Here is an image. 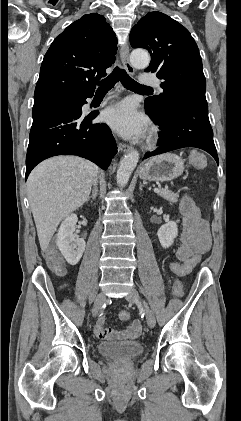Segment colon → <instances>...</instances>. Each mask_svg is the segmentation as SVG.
Segmentation results:
<instances>
[{"mask_svg":"<svg viewBox=\"0 0 241 421\" xmlns=\"http://www.w3.org/2000/svg\"><path fill=\"white\" fill-rule=\"evenodd\" d=\"M55 0H48L49 3H53ZM190 163L198 169H204L207 165V159L204 154L194 151L189 157ZM45 259L49 268L57 275H62L65 271L63 260L54 248H49L45 251ZM201 255H194L186 260L180 262L171 263L169 266L170 271L179 277L186 276L193 268L200 262ZM175 295L182 296L184 293L183 285L180 281H176L173 286ZM119 318L123 321H127L130 318V313L126 310L119 312Z\"/></svg>","mask_w":241,"mask_h":421,"instance_id":"colon-1","label":"colon"}]
</instances>
